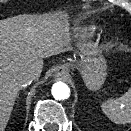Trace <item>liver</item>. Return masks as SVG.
<instances>
[{"label": "liver", "instance_id": "6515ba94", "mask_svg": "<svg viewBox=\"0 0 131 131\" xmlns=\"http://www.w3.org/2000/svg\"><path fill=\"white\" fill-rule=\"evenodd\" d=\"M69 25L64 15L19 16L0 22V131L9 121L24 73L38 77L43 59L69 48Z\"/></svg>", "mask_w": 131, "mask_h": 131}]
</instances>
